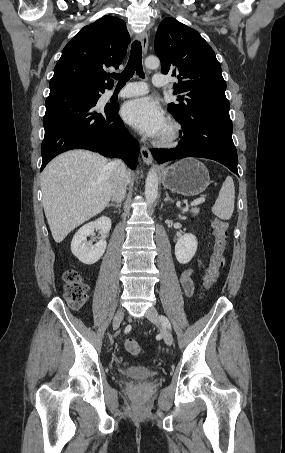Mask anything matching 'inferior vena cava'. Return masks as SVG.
Masks as SVG:
<instances>
[{"mask_svg":"<svg viewBox=\"0 0 285 453\" xmlns=\"http://www.w3.org/2000/svg\"><path fill=\"white\" fill-rule=\"evenodd\" d=\"M114 170L112 196L113 200L121 202L125 198L128 182L127 169L122 160L116 159L110 163Z\"/></svg>","mask_w":285,"mask_h":453,"instance_id":"1","label":"inferior vena cava"}]
</instances>
